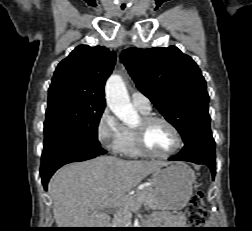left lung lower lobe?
<instances>
[{
	"label": "left lung lower lobe",
	"instance_id": "obj_1",
	"mask_svg": "<svg viewBox=\"0 0 252 231\" xmlns=\"http://www.w3.org/2000/svg\"><path fill=\"white\" fill-rule=\"evenodd\" d=\"M169 160L188 161L207 165L214 179L215 176V142L210 136H197L187 141L179 154Z\"/></svg>",
	"mask_w": 252,
	"mask_h": 231
}]
</instances>
